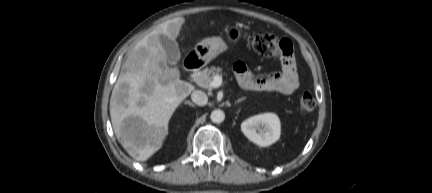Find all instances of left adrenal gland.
<instances>
[{
  "instance_id": "a2214340",
  "label": "left adrenal gland",
  "mask_w": 432,
  "mask_h": 193,
  "mask_svg": "<svg viewBox=\"0 0 432 193\" xmlns=\"http://www.w3.org/2000/svg\"><path fill=\"white\" fill-rule=\"evenodd\" d=\"M245 98L243 97V98H240V99H238L236 102H235V104H238V103H240V102H242L243 100H244Z\"/></svg>"
}]
</instances>
